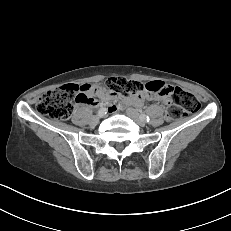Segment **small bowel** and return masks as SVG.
<instances>
[{"instance_id":"small-bowel-1","label":"small bowel","mask_w":231,"mask_h":231,"mask_svg":"<svg viewBox=\"0 0 231 231\" xmlns=\"http://www.w3.org/2000/svg\"><path fill=\"white\" fill-rule=\"evenodd\" d=\"M81 92L85 95L86 100L84 103L89 106H97L100 102H111L118 98V96L112 92L107 91L100 85L83 84L80 86ZM146 100H157L163 103L169 101V94H159L152 96L146 90H143L139 95L132 98H123L121 101L123 104H133L137 107H141ZM110 112L117 110L115 106L109 108Z\"/></svg>"}]
</instances>
